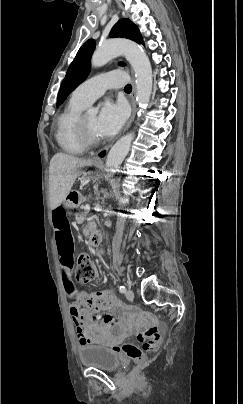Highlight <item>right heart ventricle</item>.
Wrapping results in <instances>:
<instances>
[{"label":"right heart ventricle","instance_id":"1","mask_svg":"<svg viewBox=\"0 0 243 404\" xmlns=\"http://www.w3.org/2000/svg\"><path fill=\"white\" fill-rule=\"evenodd\" d=\"M102 46L103 42L100 43L99 48ZM86 107L76 88L56 119L54 140L60 151L66 155L81 156L88 151V146L82 142L76 132V122Z\"/></svg>","mask_w":243,"mask_h":404}]
</instances>
